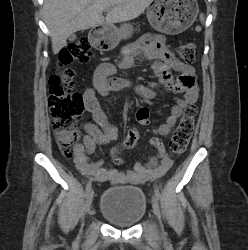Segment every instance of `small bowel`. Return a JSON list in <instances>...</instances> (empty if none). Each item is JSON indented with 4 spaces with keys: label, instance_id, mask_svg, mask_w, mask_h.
I'll list each match as a JSON object with an SVG mask.
<instances>
[{
    "label": "small bowel",
    "instance_id": "obj_1",
    "mask_svg": "<svg viewBox=\"0 0 248 250\" xmlns=\"http://www.w3.org/2000/svg\"><path fill=\"white\" fill-rule=\"evenodd\" d=\"M128 51L129 55L122 61V67H132L137 57L148 60L151 62V69L159 82L168 90L183 93V97L175 98L169 116L163 124L154 130L155 136L150 139V144L156 150L155 156L148 158L145 162H137L133 170L126 172L104 167L102 160H90L89 155L94 151L97 144L106 145L115 141L118 138V130L109 122L105 111L98 102L97 95L107 96L112 91L130 87L131 83L114 76L116 68L113 64H100L94 73L92 87L86 89L83 94L85 108L92 114L94 122L84 124L82 143L77 146L74 160L76 168L83 175L96 182L140 185L165 175L172 166V160L161 137L167 136L171 132L183 109L187 105L195 103L198 99V87L193 67L179 60L167 48L163 36L147 34L132 44ZM173 72L179 73L176 81L173 79ZM134 91L137 95L148 100L156 96L154 89L144 85L134 86ZM137 120L142 125L150 124L151 116L148 106H142L138 109ZM136 134L139 137L137 132ZM126 137L135 141L132 131Z\"/></svg>",
    "mask_w": 248,
    "mask_h": 250
}]
</instances>
